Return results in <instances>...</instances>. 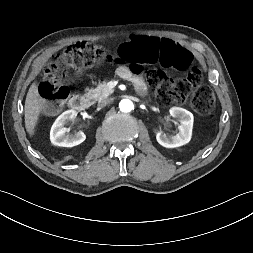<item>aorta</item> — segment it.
<instances>
[{
  "mask_svg": "<svg viewBox=\"0 0 253 253\" xmlns=\"http://www.w3.org/2000/svg\"><path fill=\"white\" fill-rule=\"evenodd\" d=\"M120 111L122 112H130L133 109V103L129 99H123L119 103Z\"/></svg>",
  "mask_w": 253,
  "mask_h": 253,
  "instance_id": "762f6f07",
  "label": "aorta"
}]
</instances>
